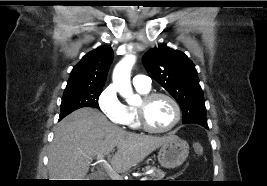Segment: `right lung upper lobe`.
Returning a JSON list of instances; mask_svg holds the SVG:
<instances>
[{"mask_svg":"<svg viewBox=\"0 0 267 186\" xmlns=\"http://www.w3.org/2000/svg\"><path fill=\"white\" fill-rule=\"evenodd\" d=\"M113 60V50L104 45L87 53L76 64L67 82L66 89L102 88L105 84L110 64Z\"/></svg>","mask_w":267,"mask_h":186,"instance_id":"cb5924a9","label":"right lung upper lobe"}]
</instances>
